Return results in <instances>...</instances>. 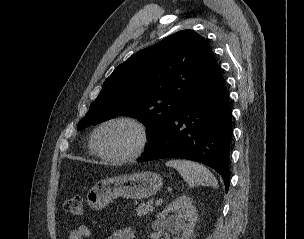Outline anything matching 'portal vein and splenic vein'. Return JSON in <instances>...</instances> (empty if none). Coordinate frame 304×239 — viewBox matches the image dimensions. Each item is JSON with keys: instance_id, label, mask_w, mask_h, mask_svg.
Instances as JSON below:
<instances>
[{"instance_id": "1", "label": "portal vein and splenic vein", "mask_w": 304, "mask_h": 239, "mask_svg": "<svg viewBox=\"0 0 304 239\" xmlns=\"http://www.w3.org/2000/svg\"><path fill=\"white\" fill-rule=\"evenodd\" d=\"M162 202H163L162 199H158V200H156L155 204H156V205H160Z\"/></svg>"}]
</instances>
